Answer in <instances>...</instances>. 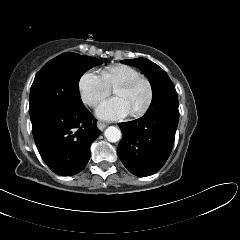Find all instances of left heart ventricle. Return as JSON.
Masks as SVG:
<instances>
[{
	"label": "left heart ventricle",
	"instance_id": "b2bd125f",
	"mask_svg": "<svg viewBox=\"0 0 240 240\" xmlns=\"http://www.w3.org/2000/svg\"><path fill=\"white\" fill-rule=\"evenodd\" d=\"M114 93L118 97H122L128 103L131 111L140 109L146 102L148 97L147 86L143 83L136 85L131 89L117 88Z\"/></svg>",
	"mask_w": 240,
	"mask_h": 240
}]
</instances>
